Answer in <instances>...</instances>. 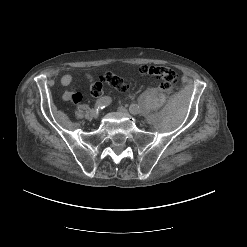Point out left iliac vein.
Wrapping results in <instances>:
<instances>
[{"label": "left iliac vein", "instance_id": "1", "mask_svg": "<svg viewBox=\"0 0 247 247\" xmlns=\"http://www.w3.org/2000/svg\"><path fill=\"white\" fill-rule=\"evenodd\" d=\"M118 111L120 113H123V114H128L129 113V111L123 106L118 107Z\"/></svg>", "mask_w": 247, "mask_h": 247}]
</instances>
